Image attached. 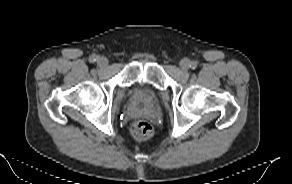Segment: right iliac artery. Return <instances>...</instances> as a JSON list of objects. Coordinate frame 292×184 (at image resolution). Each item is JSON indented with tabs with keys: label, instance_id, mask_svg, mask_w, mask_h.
Listing matches in <instances>:
<instances>
[{
	"label": "right iliac artery",
	"instance_id": "right-iliac-artery-1",
	"mask_svg": "<svg viewBox=\"0 0 292 184\" xmlns=\"http://www.w3.org/2000/svg\"><path fill=\"white\" fill-rule=\"evenodd\" d=\"M97 60V57L96 56H91L90 58H89V61L90 62H95Z\"/></svg>",
	"mask_w": 292,
	"mask_h": 184
}]
</instances>
